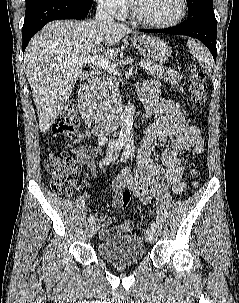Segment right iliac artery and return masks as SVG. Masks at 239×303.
Returning a JSON list of instances; mask_svg holds the SVG:
<instances>
[{"label": "right iliac artery", "mask_w": 239, "mask_h": 303, "mask_svg": "<svg viewBox=\"0 0 239 303\" xmlns=\"http://www.w3.org/2000/svg\"><path fill=\"white\" fill-rule=\"evenodd\" d=\"M124 145H125V143L123 141H119L115 145V152H114V154H110V155L106 156L105 158H103L102 159V164L103 165H109V163L112 161V159L114 158V156L117 155V153L121 151V149L123 148ZM88 222L89 223H93L94 222V216L90 215L88 217Z\"/></svg>", "instance_id": "1"}]
</instances>
